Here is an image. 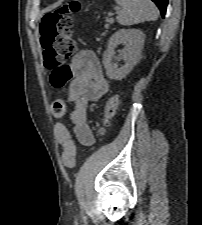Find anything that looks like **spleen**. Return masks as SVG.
<instances>
[{
	"label": "spleen",
	"instance_id": "1",
	"mask_svg": "<svg viewBox=\"0 0 202 225\" xmlns=\"http://www.w3.org/2000/svg\"><path fill=\"white\" fill-rule=\"evenodd\" d=\"M116 3L121 7L117 21L124 26L155 21L159 15L151 0H116Z\"/></svg>",
	"mask_w": 202,
	"mask_h": 225
}]
</instances>
